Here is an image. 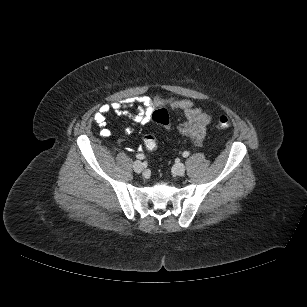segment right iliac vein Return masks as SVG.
I'll return each instance as SVG.
<instances>
[{
  "label": "right iliac vein",
  "instance_id": "obj_1",
  "mask_svg": "<svg viewBox=\"0 0 307 307\" xmlns=\"http://www.w3.org/2000/svg\"><path fill=\"white\" fill-rule=\"evenodd\" d=\"M133 169L135 172L140 173L144 169V164L141 161H135L133 163Z\"/></svg>",
  "mask_w": 307,
  "mask_h": 307
}]
</instances>
